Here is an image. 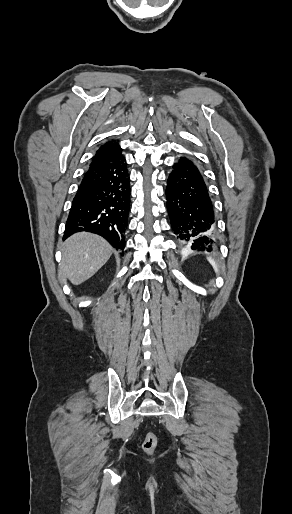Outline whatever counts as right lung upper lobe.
Segmentation results:
<instances>
[{"mask_svg":"<svg viewBox=\"0 0 292 514\" xmlns=\"http://www.w3.org/2000/svg\"><path fill=\"white\" fill-rule=\"evenodd\" d=\"M122 149L118 146L115 141H108L96 151V154L92 160L93 163H100L109 158L120 155Z\"/></svg>","mask_w":292,"mask_h":514,"instance_id":"cb5924a9","label":"right lung upper lobe"}]
</instances>
